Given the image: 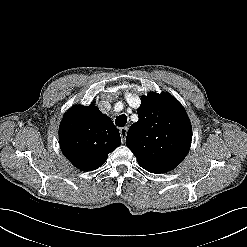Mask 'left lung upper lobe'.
<instances>
[{
  "label": "left lung upper lobe",
  "mask_w": 247,
  "mask_h": 247,
  "mask_svg": "<svg viewBox=\"0 0 247 247\" xmlns=\"http://www.w3.org/2000/svg\"><path fill=\"white\" fill-rule=\"evenodd\" d=\"M138 122L129 128L126 144L147 171L167 172L187 155L192 128L183 106L168 93L141 98Z\"/></svg>",
  "instance_id": "left-lung-upper-lobe-1"
}]
</instances>
